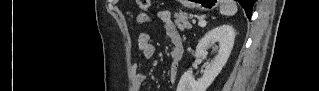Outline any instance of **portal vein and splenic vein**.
Segmentation results:
<instances>
[{"label":"portal vein and splenic vein","instance_id":"1","mask_svg":"<svg viewBox=\"0 0 319 91\" xmlns=\"http://www.w3.org/2000/svg\"><path fill=\"white\" fill-rule=\"evenodd\" d=\"M193 23H196V21L195 20H193ZM198 25L200 26V27H205L206 26V22L205 21H199L198 22Z\"/></svg>","mask_w":319,"mask_h":91}]
</instances>
